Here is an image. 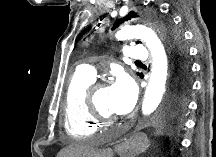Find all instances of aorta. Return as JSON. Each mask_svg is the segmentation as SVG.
<instances>
[{
    "mask_svg": "<svg viewBox=\"0 0 216 157\" xmlns=\"http://www.w3.org/2000/svg\"><path fill=\"white\" fill-rule=\"evenodd\" d=\"M120 40L141 39L151 52L152 69L148 86L145 91L142 114H152L162 101L168 80V57L157 34L150 27L142 24H125L117 33ZM121 157L128 155L119 150Z\"/></svg>",
    "mask_w": 216,
    "mask_h": 157,
    "instance_id": "aorta-1",
    "label": "aorta"
}]
</instances>
